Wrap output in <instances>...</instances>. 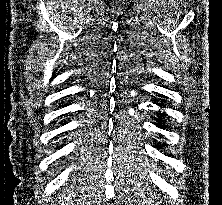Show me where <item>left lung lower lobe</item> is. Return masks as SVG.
I'll use <instances>...</instances> for the list:
<instances>
[{
    "mask_svg": "<svg viewBox=\"0 0 222 205\" xmlns=\"http://www.w3.org/2000/svg\"><path fill=\"white\" fill-rule=\"evenodd\" d=\"M157 105H159V106H165L164 105V103H157ZM159 114V118H160V120L156 123V125L158 126V127H160V128H165V125L164 124H162L163 123V114L162 113H158Z\"/></svg>",
    "mask_w": 222,
    "mask_h": 205,
    "instance_id": "left-lung-lower-lobe-1",
    "label": "left lung lower lobe"
}]
</instances>
